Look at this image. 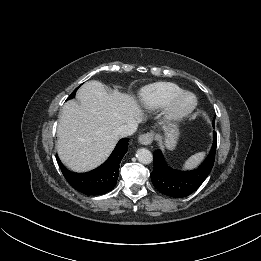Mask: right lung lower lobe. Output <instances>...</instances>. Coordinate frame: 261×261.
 Instances as JSON below:
<instances>
[{
	"label": "right lung lower lobe",
	"instance_id": "obj_1",
	"mask_svg": "<svg viewBox=\"0 0 261 261\" xmlns=\"http://www.w3.org/2000/svg\"><path fill=\"white\" fill-rule=\"evenodd\" d=\"M128 138L121 139L108 160L98 168L87 173H73L62 165L57 158L60 169L68 183L85 195H101L111 191L117 183L119 164L127 152Z\"/></svg>",
	"mask_w": 261,
	"mask_h": 261
}]
</instances>
